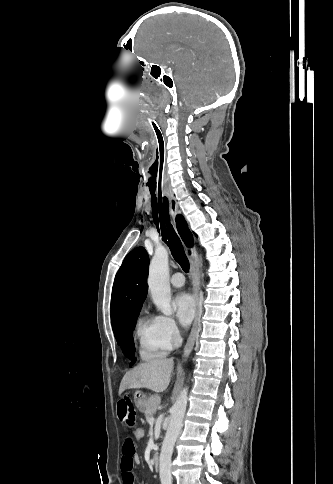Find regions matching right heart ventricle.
Segmentation results:
<instances>
[{
  "label": "right heart ventricle",
  "instance_id": "right-heart-ventricle-1",
  "mask_svg": "<svg viewBox=\"0 0 333 484\" xmlns=\"http://www.w3.org/2000/svg\"><path fill=\"white\" fill-rule=\"evenodd\" d=\"M136 336L139 342V354L144 360H152L166 355L156 317L141 316L136 324Z\"/></svg>",
  "mask_w": 333,
  "mask_h": 484
}]
</instances>
